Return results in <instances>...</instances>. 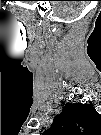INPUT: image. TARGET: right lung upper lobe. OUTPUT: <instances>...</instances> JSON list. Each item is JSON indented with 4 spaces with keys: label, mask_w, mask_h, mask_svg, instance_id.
Instances as JSON below:
<instances>
[{
    "label": "right lung upper lobe",
    "mask_w": 101,
    "mask_h": 135,
    "mask_svg": "<svg viewBox=\"0 0 101 135\" xmlns=\"http://www.w3.org/2000/svg\"><path fill=\"white\" fill-rule=\"evenodd\" d=\"M100 116L95 108L88 104L69 103L54 118L52 129L63 135H99Z\"/></svg>",
    "instance_id": "obj_1"
}]
</instances>
